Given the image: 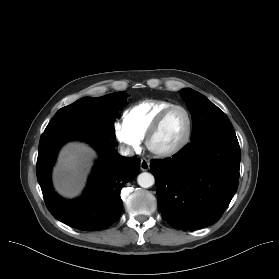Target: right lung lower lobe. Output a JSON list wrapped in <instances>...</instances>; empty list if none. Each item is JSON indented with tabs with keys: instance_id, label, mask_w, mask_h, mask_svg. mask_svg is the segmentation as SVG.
Listing matches in <instances>:
<instances>
[{
	"instance_id": "98d812e1",
	"label": "right lung lower lobe",
	"mask_w": 279,
	"mask_h": 279,
	"mask_svg": "<svg viewBox=\"0 0 279 279\" xmlns=\"http://www.w3.org/2000/svg\"><path fill=\"white\" fill-rule=\"evenodd\" d=\"M72 139L90 143L99 152V159L83 196L68 201L56 194L50 175L59 148ZM109 144L110 138L85 124L62 125L44 131L39 142L37 179L45 203L57 220L79 230L97 231L119 219L123 210L121 189L137 176L140 160L120 156Z\"/></svg>"
}]
</instances>
